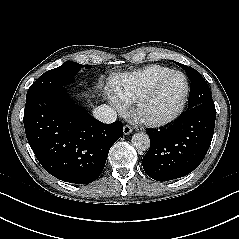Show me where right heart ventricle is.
Returning <instances> with one entry per match:
<instances>
[{
    "instance_id": "1",
    "label": "right heart ventricle",
    "mask_w": 239,
    "mask_h": 239,
    "mask_svg": "<svg viewBox=\"0 0 239 239\" xmlns=\"http://www.w3.org/2000/svg\"><path fill=\"white\" fill-rule=\"evenodd\" d=\"M170 71L164 66L149 65L116 76L111 82L114 97L122 106L133 104L154 80Z\"/></svg>"
}]
</instances>
